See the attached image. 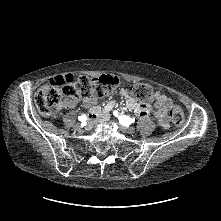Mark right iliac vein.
<instances>
[{
  "instance_id": "63e3f726",
  "label": "right iliac vein",
  "mask_w": 221,
  "mask_h": 221,
  "mask_svg": "<svg viewBox=\"0 0 221 221\" xmlns=\"http://www.w3.org/2000/svg\"><path fill=\"white\" fill-rule=\"evenodd\" d=\"M74 128H75L76 130H80V124H79V123H75V124H74Z\"/></svg>"
}]
</instances>
